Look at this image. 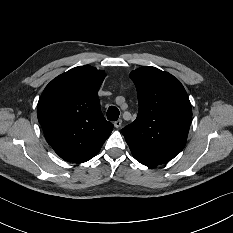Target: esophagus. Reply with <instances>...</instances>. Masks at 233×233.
I'll return each instance as SVG.
<instances>
[{"label":"esophagus","mask_w":233,"mask_h":233,"mask_svg":"<svg viewBox=\"0 0 233 233\" xmlns=\"http://www.w3.org/2000/svg\"><path fill=\"white\" fill-rule=\"evenodd\" d=\"M121 125H122V120L121 119H119V120H117V121L114 122V126L116 128H119Z\"/></svg>","instance_id":"1"}]
</instances>
